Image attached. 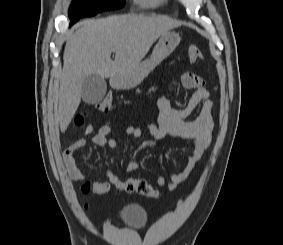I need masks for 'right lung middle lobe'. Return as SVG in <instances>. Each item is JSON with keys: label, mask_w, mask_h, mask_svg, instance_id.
Instances as JSON below:
<instances>
[{"label": "right lung middle lobe", "mask_w": 283, "mask_h": 245, "mask_svg": "<svg viewBox=\"0 0 283 245\" xmlns=\"http://www.w3.org/2000/svg\"><path fill=\"white\" fill-rule=\"evenodd\" d=\"M125 0H73L69 9L70 26L81 17L94 16L106 11L120 9Z\"/></svg>", "instance_id": "dd1d6c3e"}]
</instances>
